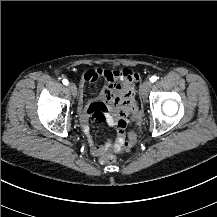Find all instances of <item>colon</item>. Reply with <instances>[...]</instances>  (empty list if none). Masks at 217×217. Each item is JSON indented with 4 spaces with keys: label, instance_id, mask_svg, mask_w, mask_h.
<instances>
[{
    "label": "colon",
    "instance_id": "obj_1",
    "mask_svg": "<svg viewBox=\"0 0 217 217\" xmlns=\"http://www.w3.org/2000/svg\"><path fill=\"white\" fill-rule=\"evenodd\" d=\"M133 88H134V90L138 91V90H140L141 87H140V85L136 84V85H134ZM135 143H136V134L133 132H130L128 142H126L124 144V146L121 147V149L123 151L130 152L132 150V148L134 147ZM97 162L98 163H115L116 157L110 156V155L98 156Z\"/></svg>",
    "mask_w": 217,
    "mask_h": 217
}]
</instances>
